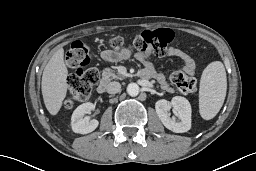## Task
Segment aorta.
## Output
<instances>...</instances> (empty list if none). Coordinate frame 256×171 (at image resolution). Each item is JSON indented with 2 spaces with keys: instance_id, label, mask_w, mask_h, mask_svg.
<instances>
[{
  "instance_id": "1",
  "label": "aorta",
  "mask_w": 256,
  "mask_h": 171,
  "mask_svg": "<svg viewBox=\"0 0 256 171\" xmlns=\"http://www.w3.org/2000/svg\"><path fill=\"white\" fill-rule=\"evenodd\" d=\"M140 88L136 83H130L127 86V93L132 96L135 97L139 94Z\"/></svg>"
}]
</instances>
